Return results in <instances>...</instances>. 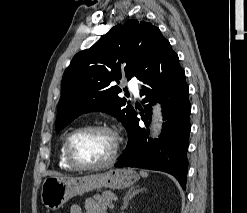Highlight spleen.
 Returning <instances> with one entry per match:
<instances>
[{"instance_id": "3e777b00", "label": "spleen", "mask_w": 247, "mask_h": 213, "mask_svg": "<svg viewBox=\"0 0 247 213\" xmlns=\"http://www.w3.org/2000/svg\"><path fill=\"white\" fill-rule=\"evenodd\" d=\"M140 175L143 176V177H147L148 176L147 172H144V171H140Z\"/></svg>"}]
</instances>
